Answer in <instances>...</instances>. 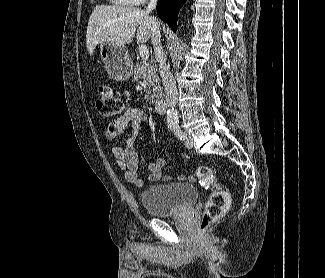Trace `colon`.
<instances>
[{
    "label": "colon",
    "instance_id": "5ec220e1",
    "mask_svg": "<svg viewBox=\"0 0 325 278\" xmlns=\"http://www.w3.org/2000/svg\"><path fill=\"white\" fill-rule=\"evenodd\" d=\"M95 106L98 112L107 118L118 117L123 114L125 109L123 101L107 85L98 87L95 96ZM195 177L201 184L211 187V192L198 226L200 232H205L211 224L225 214L230 204V193L226 188L217 183L213 170L208 166L198 167L195 171Z\"/></svg>",
    "mask_w": 325,
    "mask_h": 278
}]
</instances>
